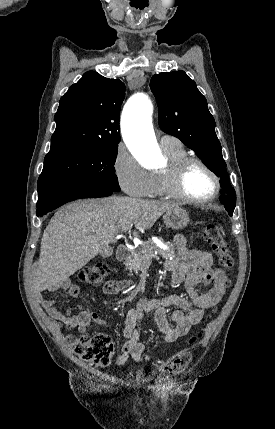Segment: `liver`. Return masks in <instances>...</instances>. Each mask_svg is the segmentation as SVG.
<instances>
[{
	"label": "liver",
	"instance_id": "6515ba94",
	"mask_svg": "<svg viewBox=\"0 0 275 429\" xmlns=\"http://www.w3.org/2000/svg\"><path fill=\"white\" fill-rule=\"evenodd\" d=\"M178 204L111 196L80 200L60 208L46 227L40 248L35 285L55 290L115 241L125 226L150 229Z\"/></svg>",
	"mask_w": 275,
	"mask_h": 429
}]
</instances>
